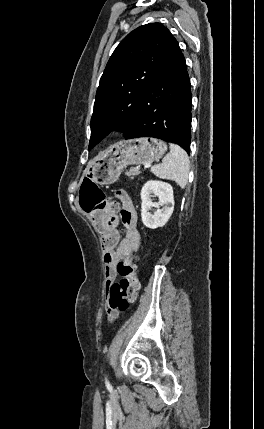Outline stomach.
Segmentation results:
<instances>
[{"label":"stomach","instance_id":"0dacf381","mask_svg":"<svg viewBox=\"0 0 264 429\" xmlns=\"http://www.w3.org/2000/svg\"><path fill=\"white\" fill-rule=\"evenodd\" d=\"M167 151V145L156 138L120 141L92 160L86 176L99 185L116 182L127 165L152 162Z\"/></svg>","mask_w":264,"mask_h":429}]
</instances>
